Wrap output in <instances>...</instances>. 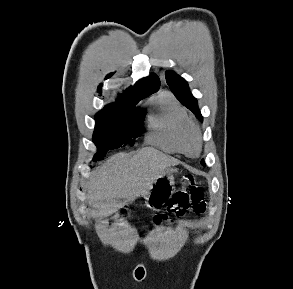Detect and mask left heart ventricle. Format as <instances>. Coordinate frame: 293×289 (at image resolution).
I'll return each mask as SVG.
<instances>
[{"label":"left heart ventricle","instance_id":"obj_1","mask_svg":"<svg viewBox=\"0 0 293 289\" xmlns=\"http://www.w3.org/2000/svg\"><path fill=\"white\" fill-rule=\"evenodd\" d=\"M188 141H189V142H191V144H192V147H194V144H193V142H192V139H191V137H189V138H188Z\"/></svg>","mask_w":293,"mask_h":289}]
</instances>
